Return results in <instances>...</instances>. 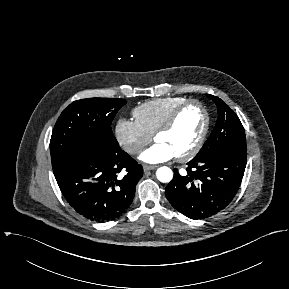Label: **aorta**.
Wrapping results in <instances>:
<instances>
[{
	"label": "aorta",
	"instance_id": "1",
	"mask_svg": "<svg viewBox=\"0 0 289 289\" xmlns=\"http://www.w3.org/2000/svg\"><path fill=\"white\" fill-rule=\"evenodd\" d=\"M156 177L162 183H169L173 178V172L169 167L162 166L157 169Z\"/></svg>",
	"mask_w": 289,
	"mask_h": 289
}]
</instances>
